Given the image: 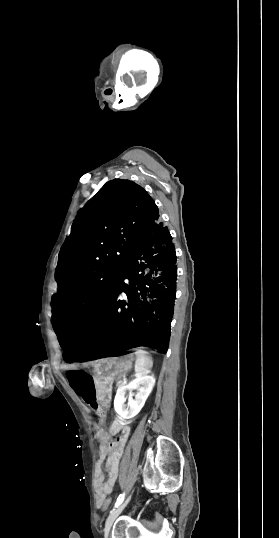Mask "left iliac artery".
Listing matches in <instances>:
<instances>
[{
  "label": "left iliac artery",
  "mask_w": 279,
  "mask_h": 538,
  "mask_svg": "<svg viewBox=\"0 0 279 538\" xmlns=\"http://www.w3.org/2000/svg\"><path fill=\"white\" fill-rule=\"evenodd\" d=\"M124 497H125V494H124V493L121 494V495L118 497V499H117V501H116V503H115V507H118V506L123 502Z\"/></svg>",
  "instance_id": "44dca946"
}]
</instances>
